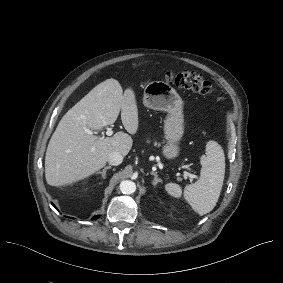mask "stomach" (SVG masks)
I'll return each instance as SVG.
<instances>
[{
    "instance_id": "stomach-1",
    "label": "stomach",
    "mask_w": 283,
    "mask_h": 283,
    "mask_svg": "<svg viewBox=\"0 0 283 283\" xmlns=\"http://www.w3.org/2000/svg\"><path fill=\"white\" fill-rule=\"evenodd\" d=\"M144 106L166 111L168 114L164 120V134L166 145L163 147V155L168 159H174L179 155L178 143L184 133L183 101L176 90L163 81H153L144 89Z\"/></svg>"
}]
</instances>
